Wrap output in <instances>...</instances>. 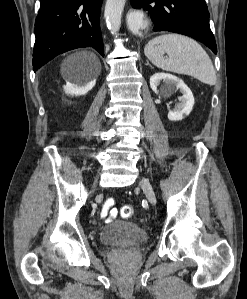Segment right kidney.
Wrapping results in <instances>:
<instances>
[{"instance_id": "ca27d5eb", "label": "right kidney", "mask_w": 247, "mask_h": 299, "mask_svg": "<svg viewBox=\"0 0 247 299\" xmlns=\"http://www.w3.org/2000/svg\"><path fill=\"white\" fill-rule=\"evenodd\" d=\"M95 84H96L95 79L82 85L67 83L64 86V90L67 94H70L72 96L73 95L80 96L88 93L95 86Z\"/></svg>"}]
</instances>
